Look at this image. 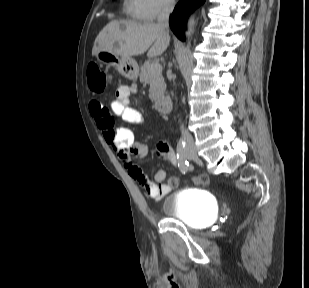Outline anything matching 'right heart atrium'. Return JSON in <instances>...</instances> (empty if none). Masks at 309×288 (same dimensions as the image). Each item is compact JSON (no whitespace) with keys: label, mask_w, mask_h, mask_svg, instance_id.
Segmentation results:
<instances>
[{"label":"right heart atrium","mask_w":309,"mask_h":288,"mask_svg":"<svg viewBox=\"0 0 309 288\" xmlns=\"http://www.w3.org/2000/svg\"><path fill=\"white\" fill-rule=\"evenodd\" d=\"M147 19H155L159 15L170 11L175 4V0H140Z\"/></svg>","instance_id":"d8ad5b80"}]
</instances>
